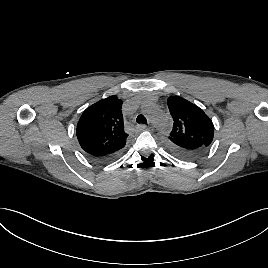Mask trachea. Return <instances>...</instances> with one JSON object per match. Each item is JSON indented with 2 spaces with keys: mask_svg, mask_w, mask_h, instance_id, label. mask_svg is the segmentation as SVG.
I'll list each match as a JSON object with an SVG mask.
<instances>
[{
  "mask_svg": "<svg viewBox=\"0 0 268 268\" xmlns=\"http://www.w3.org/2000/svg\"><path fill=\"white\" fill-rule=\"evenodd\" d=\"M136 121L139 124H147V119L142 114H140V115L137 116Z\"/></svg>",
  "mask_w": 268,
  "mask_h": 268,
  "instance_id": "3493384b",
  "label": "trachea"
}]
</instances>
